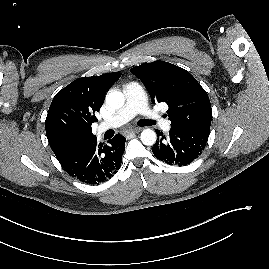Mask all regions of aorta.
<instances>
[{"mask_svg": "<svg viewBox=\"0 0 269 269\" xmlns=\"http://www.w3.org/2000/svg\"><path fill=\"white\" fill-rule=\"evenodd\" d=\"M125 97L121 91L111 90L106 95V104L113 109H119L124 105ZM141 141L144 145H154L157 139L156 133L152 129H144L141 132Z\"/></svg>", "mask_w": 269, "mask_h": 269, "instance_id": "762f6f07", "label": "aorta"}]
</instances>
